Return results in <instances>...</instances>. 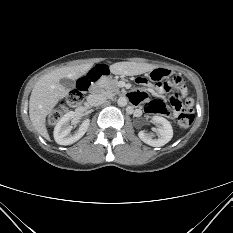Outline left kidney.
I'll list each match as a JSON object with an SVG mask.
<instances>
[{
    "label": "left kidney",
    "mask_w": 233,
    "mask_h": 233,
    "mask_svg": "<svg viewBox=\"0 0 233 233\" xmlns=\"http://www.w3.org/2000/svg\"><path fill=\"white\" fill-rule=\"evenodd\" d=\"M152 121L160 124L157 128L158 138L153 139L151 135L146 133L145 131H140L138 133L139 138L146 144L153 147H160L168 143L173 137V129L170 122L161 117V116H153Z\"/></svg>",
    "instance_id": "1"
}]
</instances>
